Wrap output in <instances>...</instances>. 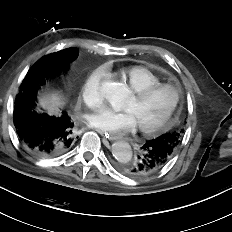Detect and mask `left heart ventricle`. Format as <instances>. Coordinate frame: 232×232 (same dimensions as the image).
<instances>
[{"mask_svg":"<svg viewBox=\"0 0 232 232\" xmlns=\"http://www.w3.org/2000/svg\"><path fill=\"white\" fill-rule=\"evenodd\" d=\"M173 98L174 95L171 90L161 89L140 101L132 96L123 109L133 114L137 125H150L165 115Z\"/></svg>","mask_w":232,"mask_h":232,"instance_id":"left-heart-ventricle-1","label":"left heart ventricle"}]
</instances>
